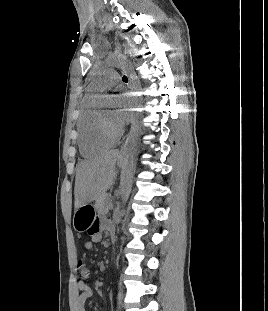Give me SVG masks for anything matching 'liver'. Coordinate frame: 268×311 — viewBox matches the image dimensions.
<instances>
[{"mask_svg": "<svg viewBox=\"0 0 268 311\" xmlns=\"http://www.w3.org/2000/svg\"><path fill=\"white\" fill-rule=\"evenodd\" d=\"M121 158L118 150H110L92 160L82 161L75 178V208L78 209L105 194L116 176L115 165Z\"/></svg>", "mask_w": 268, "mask_h": 311, "instance_id": "liver-1", "label": "liver"}]
</instances>
